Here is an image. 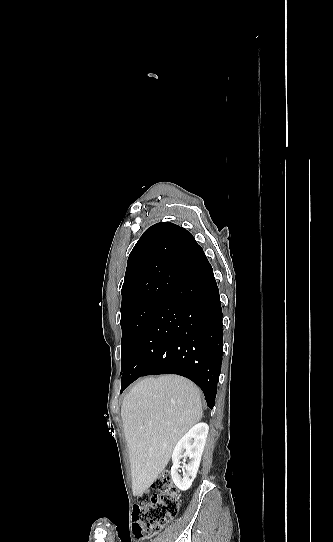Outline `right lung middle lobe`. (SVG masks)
I'll return each instance as SVG.
<instances>
[{
	"mask_svg": "<svg viewBox=\"0 0 333 542\" xmlns=\"http://www.w3.org/2000/svg\"><path fill=\"white\" fill-rule=\"evenodd\" d=\"M167 293L151 295L141 302L121 310V373L133 358L135 344L151 314Z\"/></svg>",
	"mask_w": 333,
	"mask_h": 542,
	"instance_id": "obj_1",
	"label": "right lung middle lobe"
}]
</instances>
